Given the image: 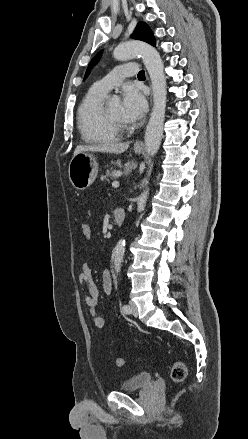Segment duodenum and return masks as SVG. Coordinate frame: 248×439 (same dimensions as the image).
Instances as JSON below:
<instances>
[{
  "label": "duodenum",
  "mask_w": 248,
  "mask_h": 439,
  "mask_svg": "<svg viewBox=\"0 0 248 439\" xmlns=\"http://www.w3.org/2000/svg\"><path fill=\"white\" fill-rule=\"evenodd\" d=\"M113 218L116 225H121L125 219V212L122 208H116L113 212Z\"/></svg>",
  "instance_id": "duodenum-1"
}]
</instances>
